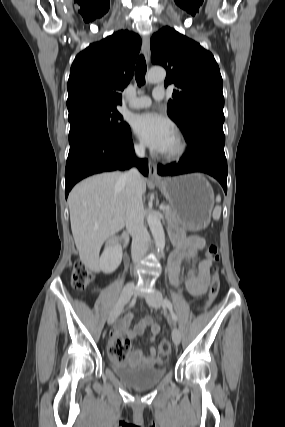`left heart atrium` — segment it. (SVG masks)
<instances>
[{"mask_svg": "<svg viewBox=\"0 0 285 427\" xmlns=\"http://www.w3.org/2000/svg\"><path fill=\"white\" fill-rule=\"evenodd\" d=\"M133 128L145 145L159 153L166 150L175 134L173 124L166 117L153 112L138 115Z\"/></svg>", "mask_w": 285, "mask_h": 427, "instance_id": "left-heart-atrium-1", "label": "left heart atrium"}]
</instances>
